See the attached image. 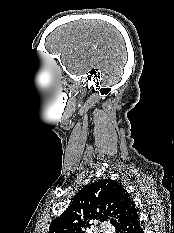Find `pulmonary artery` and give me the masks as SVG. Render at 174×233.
I'll list each match as a JSON object with an SVG mask.
<instances>
[{
	"instance_id": "pulmonary-artery-1",
	"label": "pulmonary artery",
	"mask_w": 174,
	"mask_h": 233,
	"mask_svg": "<svg viewBox=\"0 0 174 233\" xmlns=\"http://www.w3.org/2000/svg\"><path fill=\"white\" fill-rule=\"evenodd\" d=\"M100 231L103 233H113V227L110 226L108 223H102L100 227Z\"/></svg>"
}]
</instances>
